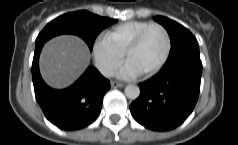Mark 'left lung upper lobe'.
I'll return each instance as SVG.
<instances>
[{"mask_svg":"<svg viewBox=\"0 0 238 145\" xmlns=\"http://www.w3.org/2000/svg\"><path fill=\"white\" fill-rule=\"evenodd\" d=\"M154 20L163 25L170 36L171 51L166 64L172 63L184 55L199 53L198 42L188 29L167 17L156 16Z\"/></svg>","mask_w":238,"mask_h":145,"instance_id":"left-lung-upper-lobe-1","label":"left lung upper lobe"}]
</instances>
